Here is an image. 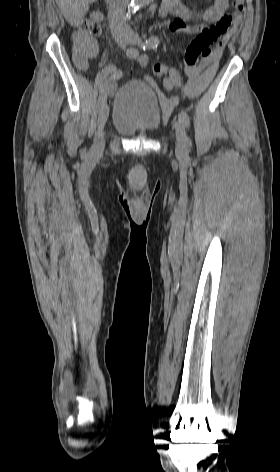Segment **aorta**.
<instances>
[{"instance_id": "762f6f07", "label": "aorta", "mask_w": 280, "mask_h": 472, "mask_svg": "<svg viewBox=\"0 0 280 472\" xmlns=\"http://www.w3.org/2000/svg\"><path fill=\"white\" fill-rule=\"evenodd\" d=\"M151 1L152 0H131L127 16H130L132 12L136 11L137 9L141 8L146 3H149Z\"/></svg>"}]
</instances>
